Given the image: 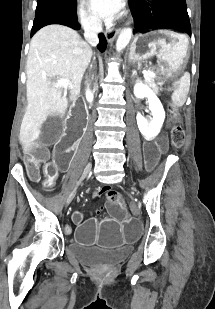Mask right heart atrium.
Listing matches in <instances>:
<instances>
[{"mask_svg":"<svg viewBox=\"0 0 215 309\" xmlns=\"http://www.w3.org/2000/svg\"><path fill=\"white\" fill-rule=\"evenodd\" d=\"M79 17L80 23L85 30H96L99 27L97 19L90 12L82 10Z\"/></svg>","mask_w":215,"mask_h":309,"instance_id":"1","label":"right heart atrium"}]
</instances>
